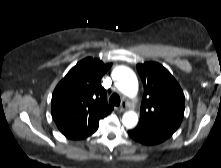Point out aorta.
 Segmentation results:
<instances>
[{"label": "aorta", "instance_id": "aorta-1", "mask_svg": "<svg viewBox=\"0 0 221 168\" xmlns=\"http://www.w3.org/2000/svg\"><path fill=\"white\" fill-rule=\"evenodd\" d=\"M112 78L117 89L126 96L133 98L138 92V79L135 73L126 66H119L113 70ZM123 125L134 128L138 123V115L134 111L125 112L122 117Z\"/></svg>", "mask_w": 221, "mask_h": 168}]
</instances>
